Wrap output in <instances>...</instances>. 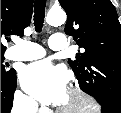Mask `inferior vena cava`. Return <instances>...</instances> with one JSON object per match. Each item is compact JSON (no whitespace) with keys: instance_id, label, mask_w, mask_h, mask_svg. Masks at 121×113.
Listing matches in <instances>:
<instances>
[{"instance_id":"inferior-vena-cava-1","label":"inferior vena cava","mask_w":121,"mask_h":113,"mask_svg":"<svg viewBox=\"0 0 121 113\" xmlns=\"http://www.w3.org/2000/svg\"><path fill=\"white\" fill-rule=\"evenodd\" d=\"M38 104L35 101L20 102L13 106L12 113H36Z\"/></svg>"}]
</instances>
